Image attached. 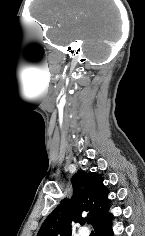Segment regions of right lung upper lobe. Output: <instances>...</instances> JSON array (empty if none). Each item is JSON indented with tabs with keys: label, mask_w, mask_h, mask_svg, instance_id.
Instances as JSON below:
<instances>
[{
	"label": "right lung upper lobe",
	"mask_w": 145,
	"mask_h": 236,
	"mask_svg": "<svg viewBox=\"0 0 145 236\" xmlns=\"http://www.w3.org/2000/svg\"><path fill=\"white\" fill-rule=\"evenodd\" d=\"M73 196L64 199L43 222L37 236H71V223L84 224V211L95 226L109 213L110 200L100 174L79 170L72 177Z\"/></svg>",
	"instance_id": "cb5924a9"
}]
</instances>
